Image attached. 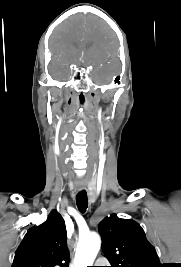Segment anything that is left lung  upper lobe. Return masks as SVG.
Listing matches in <instances>:
<instances>
[{
    "mask_svg": "<svg viewBox=\"0 0 181 267\" xmlns=\"http://www.w3.org/2000/svg\"><path fill=\"white\" fill-rule=\"evenodd\" d=\"M102 248L111 267H161L155 248L147 241L141 226L115 214L98 225Z\"/></svg>",
    "mask_w": 181,
    "mask_h": 267,
    "instance_id": "5c2ea615",
    "label": "left lung upper lobe"
}]
</instances>
